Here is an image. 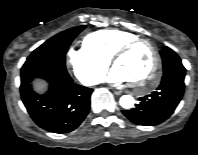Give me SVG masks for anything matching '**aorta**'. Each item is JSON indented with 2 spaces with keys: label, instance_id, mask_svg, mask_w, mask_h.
Masks as SVG:
<instances>
[{
  "label": "aorta",
  "instance_id": "obj_1",
  "mask_svg": "<svg viewBox=\"0 0 198 155\" xmlns=\"http://www.w3.org/2000/svg\"><path fill=\"white\" fill-rule=\"evenodd\" d=\"M119 103L124 109H130L134 106L135 100L131 95H123L120 98Z\"/></svg>",
  "mask_w": 198,
  "mask_h": 155
}]
</instances>
